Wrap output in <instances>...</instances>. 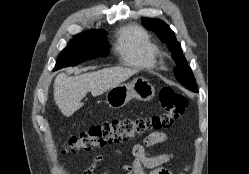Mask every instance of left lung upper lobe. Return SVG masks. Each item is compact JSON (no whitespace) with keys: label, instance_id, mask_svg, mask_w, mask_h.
I'll return each instance as SVG.
<instances>
[{"label":"left lung upper lobe","instance_id":"obj_1","mask_svg":"<svg viewBox=\"0 0 249 174\" xmlns=\"http://www.w3.org/2000/svg\"><path fill=\"white\" fill-rule=\"evenodd\" d=\"M142 24L148 30L155 32L161 41L167 44L177 65L174 69L177 80L187 89L198 92L194 75L191 68L187 65L180 43L177 42L174 32L165 22L159 19L143 18Z\"/></svg>","mask_w":249,"mask_h":174}]
</instances>
